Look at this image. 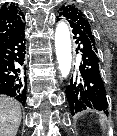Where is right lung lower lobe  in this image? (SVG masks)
<instances>
[{
  "label": "right lung lower lobe",
  "instance_id": "98d812e1",
  "mask_svg": "<svg viewBox=\"0 0 117 136\" xmlns=\"http://www.w3.org/2000/svg\"><path fill=\"white\" fill-rule=\"evenodd\" d=\"M25 17L22 24L0 45V95L26 102Z\"/></svg>",
  "mask_w": 117,
  "mask_h": 136
}]
</instances>
